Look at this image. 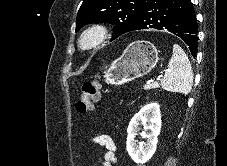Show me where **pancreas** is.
<instances>
[{
  "mask_svg": "<svg viewBox=\"0 0 227 166\" xmlns=\"http://www.w3.org/2000/svg\"><path fill=\"white\" fill-rule=\"evenodd\" d=\"M158 87H159L158 84L153 83V84H149V85H144V86H143V89H144V90H150V89H156V88H158Z\"/></svg>",
  "mask_w": 227,
  "mask_h": 166,
  "instance_id": "cf45deb5",
  "label": "pancreas"
}]
</instances>
